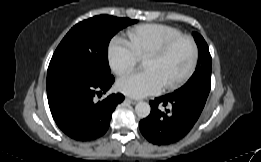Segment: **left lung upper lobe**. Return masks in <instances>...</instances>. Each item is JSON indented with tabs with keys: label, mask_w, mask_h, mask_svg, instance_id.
<instances>
[{
	"label": "left lung upper lobe",
	"mask_w": 261,
	"mask_h": 162,
	"mask_svg": "<svg viewBox=\"0 0 261 162\" xmlns=\"http://www.w3.org/2000/svg\"><path fill=\"white\" fill-rule=\"evenodd\" d=\"M193 36L198 46L199 59L195 72L180 89L199 88L209 92L211 88V55L204 38L197 32H193Z\"/></svg>",
	"instance_id": "5c2ea615"
}]
</instances>
